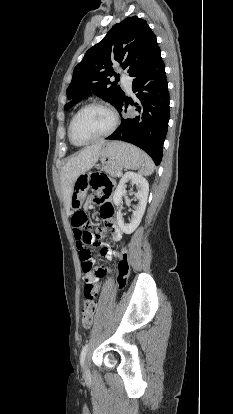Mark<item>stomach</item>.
<instances>
[{
  "mask_svg": "<svg viewBox=\"0 0 233 414\" xmlns=\"http://www.w3.org/2000/svg\"><path fill=\"white\" fill-rule=\"evenodd\" d=\"M100 160L103 169H138L144 163L143 152L137 147L123 142H105L102 147ZM89 174L82 172L77 175L71 197V208L80 206L85 197L83 189L88 187Z\"/></svg>",
  "mask_w": 233,
  "mask_h": 414,
  "instance_id": "1",
  "label": "stomach"
}]
</instances>
